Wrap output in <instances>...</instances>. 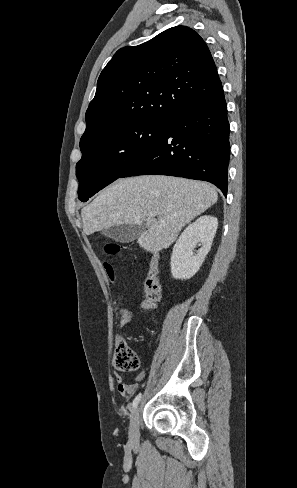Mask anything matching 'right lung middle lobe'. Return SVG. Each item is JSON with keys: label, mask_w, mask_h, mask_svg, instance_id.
<instances>
[{"label": "right lung middle lobe", "mask_w": 297, "mask_h": 488, "mask_svg": "<svg viewBox=\"0 0 297 488\" xmlns=\"http://www.w3.org/2000/svg\"><path fill=\"white\" fill-rule=\"evenodd\" d=\"M169 120H145L114 130L82 150L76 165L78 197L85 202L120 178L159 138Z\"/></svg>", "instance_id": "dd1d6c3e"}]
</instances>
